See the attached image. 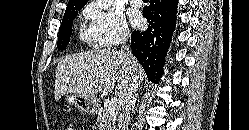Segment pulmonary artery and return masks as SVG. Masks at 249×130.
<instances>
[{"instance_id": "pulmonary-artery-1", "label": "pulmonary artery", "mask_w": 249, "mask_h": 130, "mask_svg": "<svg viewBox=\"0 0 249 130\" xmlns=\"http://www.w3.org/2000/svg\"><path fill=\"white\" fill-rule=\"evenodd\" d=\"M143 3V0H130L132 6L140 7Z\"/></svg>"}]
</instances>
